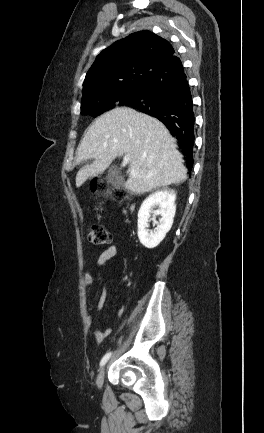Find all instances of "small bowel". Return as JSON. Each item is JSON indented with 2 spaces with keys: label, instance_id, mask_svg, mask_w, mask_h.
<instances>
[{
  "label": "small bowel",
  "instance_id": "obj_1",
  "mask_svg": "<svg viewBox=\"0 0 264 433\" xmlns=\"http://www.w3.org/2000/svg\"><path fill=\"white\" fill-rule=\"evenodd\" d=\"M117 254V247L115 245L109 246L106 250H104L98 257L97 263L100 266H103L109 259L114 257ZM83 282L85 285H91L93 283V276L90 272H86L83 277ZM106 301V291L104 288L101 289L99 298H98V309L101 310ZM123 313V309H120L118 311V315H121ZM86 322L88 326H91L93 324V317L91 315H88L86 318ZM112 333V329L107 328L104 330H96L95 331V340L98 344L102 343L104 339L108 336H110Z\"/></svg>",
  "mask_w": 264,
  "mask_h": 433
}]
</instances>
